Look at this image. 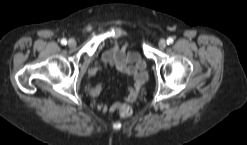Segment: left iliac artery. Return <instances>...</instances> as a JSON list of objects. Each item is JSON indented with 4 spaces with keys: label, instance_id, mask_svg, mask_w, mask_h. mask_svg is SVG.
Masks as SVG:
<instances>
[{
    "label": "left iliac artery",
    "instance_id": "left-iliac-artery-1",
    "mask_svg": "<svg viewBox=\"0 0 247 145\" xmlns=\"http://www.w3.org/2000/svg\"><path fill=\"white\" fill-rule=\"evenodd\" d=\"M174 42V39L172 38V37H169L168 39H167V44L169 45V44H172Z\"/></svg>",
    "mask_w": 247,
    "mask_h": 145
}]
</instances>
